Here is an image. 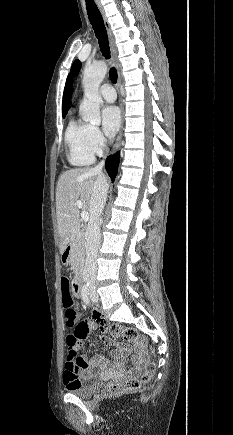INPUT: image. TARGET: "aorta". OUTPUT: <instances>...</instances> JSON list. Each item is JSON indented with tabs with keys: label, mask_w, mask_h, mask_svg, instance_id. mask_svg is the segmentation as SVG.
Segmentation results:
<instances>
[{
	"label": "aorta",
	"mask_w": 233,
	"mask_h": 435,
	"mask_svg": "<svg viewBox=\"0 0 233 435\" xmlns=\"http://www.w3.org/2000/svg\"><path fill=\"white\" fill-rule=\"evenodd\" d=\"M106 73L107 65L104 62L87 67L83 73L84 99L80 105V115L85 122L92 125L101 123L100 104L102 98L99 94V86Z\"/></svg>",
	"instance_id": "762f6f07"
}]
</instances>
